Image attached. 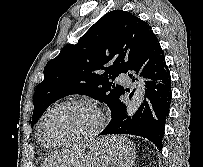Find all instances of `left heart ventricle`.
<instances>
[{"label": "left heart ventricle", "mask_w": 203, "mask_h": 167, "mask_svg": "<svg viewBox=\"0 0 203 167\" xmlns=\"http://www.w3.org/2000/svg\"><path fill=\"white\" fill-rule=\"evenodd\" d=\"M97 123L95 113L82 105H66L46 119L43 135L48 143H59L78 138L89 132Z\"/></svg>", "instance_id": "obj_1"}]
</instances>
